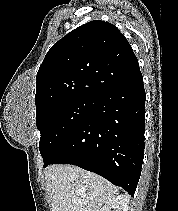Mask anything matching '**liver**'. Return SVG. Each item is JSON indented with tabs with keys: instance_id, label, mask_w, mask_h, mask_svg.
<instances>
[{
	"instance_id": "6515ba94",
	"label": "liver",
	"mask_w": 178,
	"mask_h": 211,
	"mask_svg": "<svg viewBox=\"0 0 178 211\" xmlns=\"http://www.w3.org/2000/svg\"><path fill=\"white\" fill-rule=\"evenodd\" d=\"M51 211H100L119 189L103 177L72 165H53L45 171Z\"/></svg>"
}]
</instances>
